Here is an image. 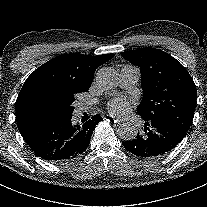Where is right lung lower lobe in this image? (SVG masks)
Wrapping results in <instances>:
<instances>
[{
    "mask_svg": "<svg viewBox=\"0 0 207 207\" xmlns=\"http://www.w3.org/2000/svg\"><path fill=\"white\" fill-rule=\"evenodd\" d=\"M70 118L45 124L22 134L32 151L42 159L62 163L80 156L88 147L95 126L102 121L92 116L83 124H72Z\"/></svg>",
    "mask_w": 207,
    "mask_h": 207,
    "instance_id": "1",
    "label": "right lung lower lobe"
}]
</instances>
